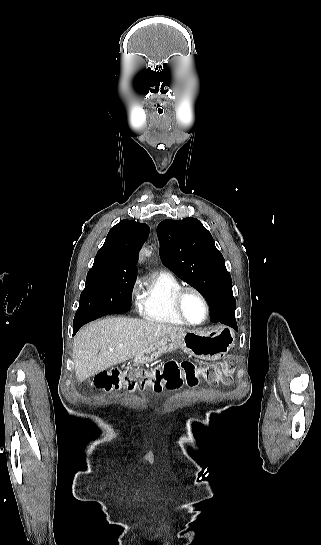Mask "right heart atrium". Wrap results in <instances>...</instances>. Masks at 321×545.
Wrapping results in <instances>:
<instances>
[{
  "instance_id": "obj_1",
  "label": "right heart atrium",
  "mask_w": 321,
  "mask_h": 545,
  "mask_svg": "<svg viewBox=\"0 0 321 545\" xmlns=\"http://www.w3.org/2000/svg\"><path fill=\"white\" fill-rule=\"evenodd\" d=\"M131 297L133 300H138L140 296V287L137 283H134L131 287Z\"/></svg>"
}]
</instances>
